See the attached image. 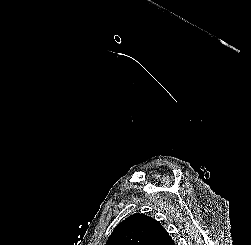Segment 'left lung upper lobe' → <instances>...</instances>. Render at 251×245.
<instances>
[{
    "label": "left lung upper lobe",
    "mask_w": 251,
    "mask_h": 245,
    "mask_svg": "<svg viewBox=\"0 0 251 245\" xmlns=\"http://www.w3.org/2000/svg\"><path fill=\"white\" fill-rule=\"evenodd\" d=\"M105 245H175V243L158 221L138 213L120 222Z\"/></svg>",
    "instance_id": "left-lung-upper-lobe-1"
}]
</instances>
